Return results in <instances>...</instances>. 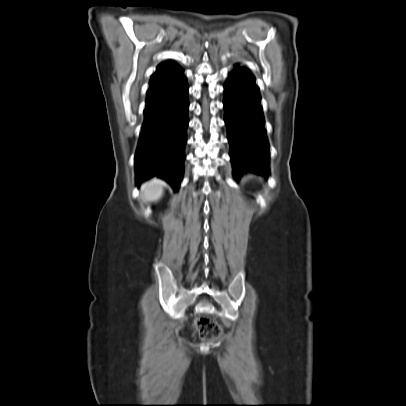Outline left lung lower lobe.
<instances>
[{
	"instance_id": "0a47b994",
	"label": "left lung lower lobe",
	"mask_w": 406,
	"mask_h": 406,
	"mask_svg": "<svg viewBox=\"0 0 406 406\" xmlns=\"http://www.w3.org/2000/svg\"><path fill=\"white\" fill-rule=\"evenodd\" d=\"M224 94L234 176L239 178L246 172L268 175L269 145L254 77L245 68H234L224 84Z\"/></svg>"
}]
</instances>
